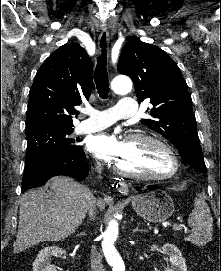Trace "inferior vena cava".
<instances>
[{"instance_id":"1","label":"inferior vena cava","mask_w":221,"mask_h":271,"mask_svg":"<svg viewBox=\"0 0 221 271\" xmlns=\"http://www.w3.org/2000/svg\"><path fill=\"white\" fill-rule=\"evenodd\" d=\"M96 169L98 171V173H101L102 171V165L101 163H96ZM89 197H91V205L89 207V217H91V219H94L95 215H96V197H94L93 193L92 195H89ZM91 255H90V267H91V271H105V267L102 263V257L100 255V253H98L97 249H95V247H93V249H91L90 251Z\"/></svg>"}]
</instances>
